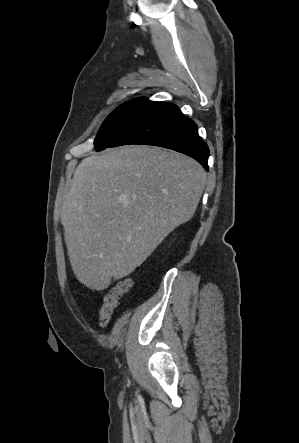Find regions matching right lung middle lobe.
Here are the masks:
<instances>
[{"label":"right lung middle lobe","mask_w":299,"mask_h":443,"mask_svg":"<svg viewBox=\"0 0 299 443\" xmlns=\"http://www.w3.org/2000/svg\"><path fill=\"white\" fill-rule=\"evenodd\" d=\"M151 103L146 98H137L115 109L105 119L97 134L94 141L96 151L109 147Z\"/></svg>","instance_id":"right-lung-middle-lobe-1"}]
</instances>
